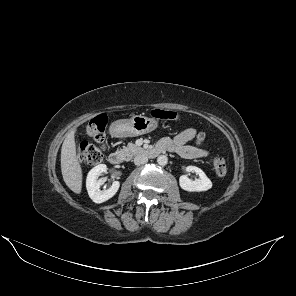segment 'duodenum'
Instances as JSON below:
<instances>
[{
  "instance_id": "1",
  "label": "duodenum",
  "mask_w": 296,
  "mask_h": 296,
  "mask_svg": "<svg viewBox=\"0 0 296 296\" xmlns=\"http://www.w3.org/2000/svg\"><path fill=\"white\" fill-rule=\"evenodd\" d=\"M166 149L163 146H155L145 150V154L150 158H155L161 153L165 152ZM124 161V155L121 152L115 151L110 153L109 162L113 165H120Z\"/></svg>"
}]
</instances>
